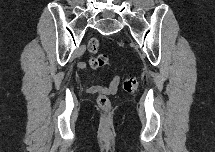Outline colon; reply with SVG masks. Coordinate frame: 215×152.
I'll return each instance as SVG.
<instances>
[{
	"instance_id": "1",
	"label": "colon",
	"mask_w": 215,
	"mask_h": 152,
	"mask_svg": "<svg viewBox=\"0 0 215 152\" xmlns=\"http://www.w3.org/2000/svg\"><path fill=\"white\" fill-rule=\"evenodd\" d=\"M99 48V42L96 39H91L88 43V50L91 53H95ZM108 57L106 55L100 54L98 56H93L89 60V64L92 68H101L108 64ZM123 89L128 93H133L138 89V82L134 77H127L122 83ZM98 105L107 109L110 107V100L107 96L101 95L97 99Z\"/></svg>"
}]
</instances>
